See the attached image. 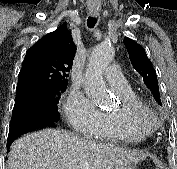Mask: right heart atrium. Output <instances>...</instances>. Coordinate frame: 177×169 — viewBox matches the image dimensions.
Wrapping results in <instances>:
<instances>
[{
  "mask_svg": "<svg viewBox=\"0 0 177 169\" xmlns=\"http://www.w3.org/2000/svg\"><path fill=\"white\" fill-rule=\"evenodd\" d=\"M64 113L72 128L89 136L99 126L101 111L79 91H70L64 102Z\"/></svg>",
  "mask_w": 177,
  "mask_h": 169,
  "instance_id": "obj_1",
  "label": "right heart atrium"
}]
</instances>
